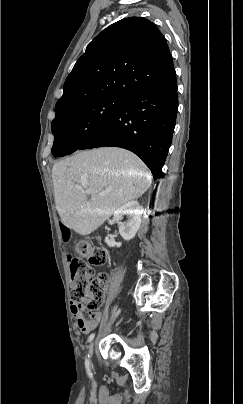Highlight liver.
Here are the masks:
<instances>
[{
  "mask_svg": "<svg viewBox=\"0 0 243 404\" xmlns=\"http://www.w3.org/2000/svg\"><path fill=\"white\" fill-rule=\"evenodd\" d=\"M52 180L62 224L80 236H88L115 210L141 198L150 188L152 176L132 152L98 148L77 152L54 164ZM83 190L90 194H82ZM101 192L108 194L99 196Z\"/></svg>",
  "mask_w": 243,
  "mask_h": 404,
  "instance_id": "liver-1",
  "label": "liver"
}]
</instances>
